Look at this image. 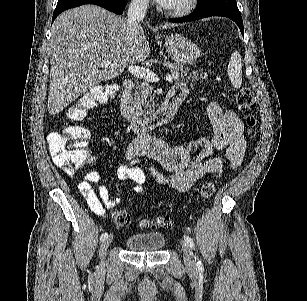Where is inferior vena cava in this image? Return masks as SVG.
<instances>
[{
    "mask_svg": "<svg viewBox=\"0 0 307 301\" xmlns=\"http://www.w3.org/2000/svg\"><path fill=\"white\" fill-rule=\"evenodd\" d=\"M149 0H131L127 10L129 26H138L146 16Z\"/></svg>",
    "mask_w": 307,
    "mask_h": 301,
    "instance_id": "602c4592",
    "label": "inferior vena cava"
}]
</instances>
